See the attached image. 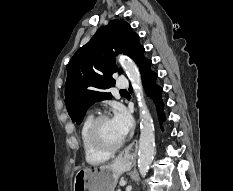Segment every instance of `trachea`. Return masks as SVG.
Masks as SVG:
<instances>
[{
  "instance_id": "trachea-1",
  "label": "trachea",
  "mask_w": 233,
  "mask_h": 191,
  "mask_svg": "<svg viewBox=\"0 0 233 191\" xmlns=\"http://www.w3.org/2000/svg\"><path fill=\"white\" fill-rule=\"evenodd\" d=\"M121 92H126V90H121Z\"/></svg>"
}]
</instances>
